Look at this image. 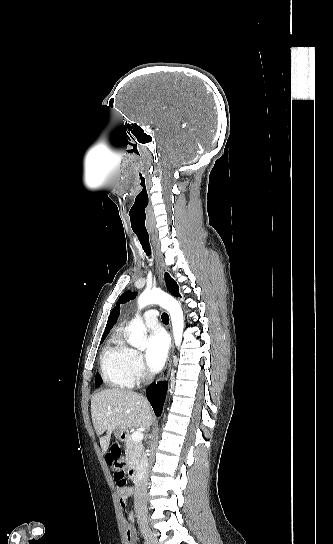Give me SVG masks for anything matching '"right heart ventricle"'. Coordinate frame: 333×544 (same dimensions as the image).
<instances>
[{
  "label": "right heart ventricle",
  "mask_w": 333,
  "mask_h": 544,
  "mask_svg": "<svg viewBox=\"0 0 333 544\" xmlns=\"http://www.w3.org/2000/svg\"><path fill=\"white\" fill-rule=\"evenodd\" d=\"M129 348L122 342L119 333L113 334L106 342L101 356L102 378L113 387L129 388L134 382L128 369Z\"/></svg>",
  "instance_id": "right-heart-ventricle-1"
}]
</instances>
